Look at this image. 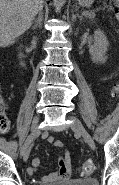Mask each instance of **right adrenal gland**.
<instances>
[{
  "mask_svg": "<svg viewBox=\"0 0 119 185\" xmlns=\"http://www.w3.org/2000/svg\"><path fill=\"white\" fill-rule=\"evenodd\" d=\"M42 20H43V11L40 10L39 13H38V17L37 19L34 21V25H33V29H36L37 26L41 27L42 25Z\"/></svg>",
  "mask_w": 119,
  "mask_h": 185,
  "instance_id": "obj_1",
  "label": "right adrenal gland"
}]
</instances>
